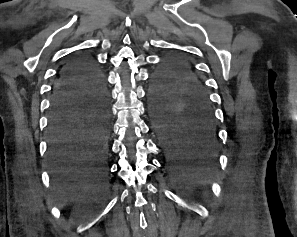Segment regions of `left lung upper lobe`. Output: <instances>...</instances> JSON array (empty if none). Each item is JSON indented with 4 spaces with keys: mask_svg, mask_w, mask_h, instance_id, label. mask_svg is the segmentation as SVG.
Wrapping results in <instances>:
<instances>
[{
    "mask_svg": "<svg viewBox=\"0 0 297 237\" xmlns=\"http://www.w3.org/2000/svg\"><path fill=\"white\" fill-rule=\"evenodd\" d=\"M185 60L171 58L158 69L150 86L151 105L181 106L189 101L210 105L204 84Z\"/></svg>",
    "mask_w": 297,
    "mask_h": 237,
    "instance_id": "obj_1",
    "label": "left lung upper lobe"
}]
</instances>
